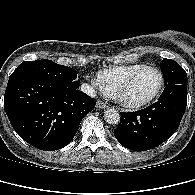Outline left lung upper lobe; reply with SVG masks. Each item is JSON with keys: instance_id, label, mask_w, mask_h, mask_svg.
I'll return each mask as SVG.
<instances>
[{"instance_id": "obj_1", "label": "left lung upper lobe", "mask_w": 195, "mask_h": 195, "mask_svg": "<svg viewBox=\"0 0 195 195\" xmlns=\"http://www.w3.org/2000/svg\"><path fill=\"white\" fill-rule=\"evenodd\" d=\"M161 70L164 76V87L187 84V73L174 60L163 58Z\"/></svg>"}]
</instances>
